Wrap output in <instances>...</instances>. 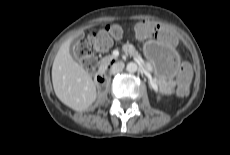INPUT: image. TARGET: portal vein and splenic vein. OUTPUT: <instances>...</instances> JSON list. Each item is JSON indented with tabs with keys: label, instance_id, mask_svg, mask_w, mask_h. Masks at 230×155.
Masks as SVG:
<instances>
[{
	"label": "portal vein and splenic vein",
	"instance_id": "obj_1",
	"mask_svg": "<svg viewBox=\"0 0 230 155\" xmlns=\"http://www.w3.org/2000/svg\"><path fill=\"white\" fill-rule=\"evenodd\" d=\"M151 83H152L153 87L157 88L155 81H153L152 79H151Z\"/></svg>",
	"mask_w": 230,
	"mask_h": 155
}]
</instances>
